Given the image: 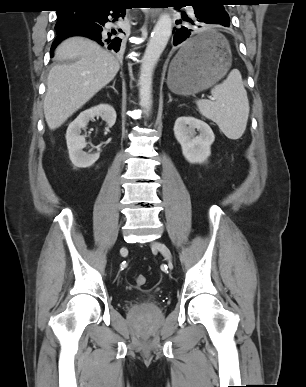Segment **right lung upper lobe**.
I'll list each match as a JSON object with an SVG mask.
<instances>
[{
	"mask_svg": "<svg viewBox=\"0 0 306 387\" xmlns=\"http://www.w3.org/2000/svg\"><path fill=\"white\" fill-rule=\"evenodd\" d=\"M119 0H61L63 9H67L73 6H84V7H104L113 4ZM59 10V11H61Z\"/></svg>",
	"mask_w": 306,
	"mask_h": 387,
	"instance_id": "obj_1",
	"label": "right lung upper lobe"
}]
</instances>
